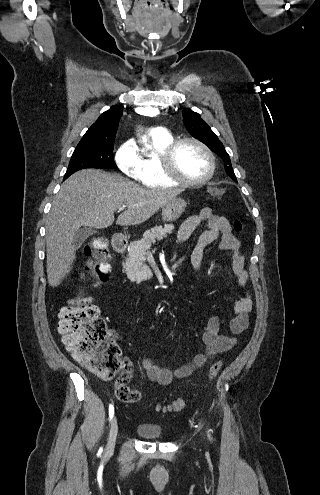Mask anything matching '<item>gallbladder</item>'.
<instances>
[{"mask_svg": "<svg viewBox=\"0 0 320 495\" xmlns=\"http://www.w3.org/2000/svg\"><path fill=\"white\" fill-rule=\"evenodd\" d=\"M94 233L95 230L91 227H81L76 230L73 236V245L75 246V248L78 249L83 244V242H85L86 239Z\"/></svg>", "mask_w": 320, "mask_h": 495, "instance_id": "gallbladder-1", "label": "gallbladder"}]
</instances>
